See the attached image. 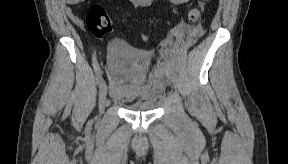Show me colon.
<instances>
[{
    "instance_id": "1",
    "label": "colon",
    "mask_w": 288,
    "mask_h": 164,
    "mask_svg": "<svg viewBox=\"0 0 288 164\" xmlns=\"http://www.w3.org/2000/svg\"><path fill=\"white\" fill-rule=\"evenodd\" d=\"M201 14V8H194L189 12V17L196 21ZM86 28L97 38L108 36L113 29L110 23V17L106 10L99 4L93 5L85 19Z\"/></svg>"
}]
</instances>
